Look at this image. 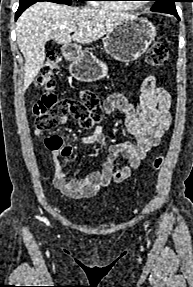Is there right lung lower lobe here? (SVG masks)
<instances>
[{
  "label": "right lung lower lobe",
  "mask_w": 193,
  "mask_h": 287,
  "mask_svg": "<svg viewBox=\"0 0 193 287\" xmlns=\"http://www.w3.org/2000/svg\"><path fill=\"white\" fill-rule=\"evenodd\" d=\"M36 2L34 1H29V2H20L19 4V8L15 14V20H17V18L22 14V12L27 9L29 6H31L32 4H34Z\"/></svg>",
  "instance_id": "right-lung-lower-lobe-1"
}]
</instances>
